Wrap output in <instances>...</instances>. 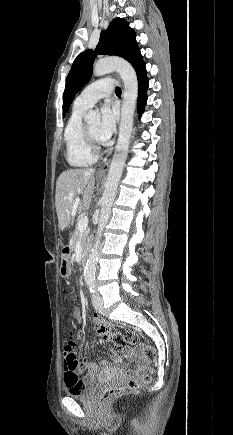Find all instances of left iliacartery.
I'll return each mask as SVG.
<instances>
[{
  "mask_svg": "<svg viewBox=\"0 0 233 435\" xmlns=\"http://www.w3.org/2000/svg\"><path fill=\"white\" fill-rule=\"evenodd\" d=\"M86 282L89 286L90 292L95 293V277L88 278Z\"/></svg>",
  "mask_w": 233,
  "mask_h": 435,
  "instance_id": "44dca946",
  "label": "left iliac artery"
}]
</instances>
